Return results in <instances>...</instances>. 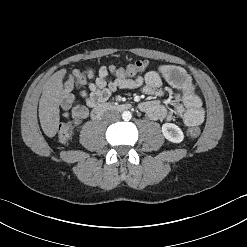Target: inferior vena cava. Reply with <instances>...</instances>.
I'll return each instance as SVG.
<instances>
[{
	"instance_id": "1",
	"label": "inferior vena cava",
	"mask_w": 247,
	"mask_h": 247,
	"mask_svg": "<svg viewBox=\"0 0 247 247\" xmlns=\"http://www.w3.org/2000/svg\"><path fill=\"white\" fill-rule=\"evenodd\" d=\"M104 119L109 122H115L120 119V114L117 111H108L105 113Z\"/></svg>"
}]
</instances>
